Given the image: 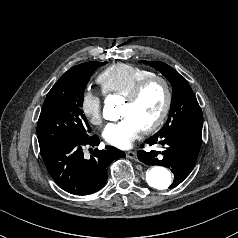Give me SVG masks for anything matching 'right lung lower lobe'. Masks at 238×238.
Masks as SVG:
<instances>
[{"mask_svg": "<svg viewBox=\"0 0 238 238\" xmlns=\"http://www.w3.org/2000/svg\"><path fill=\"white\" fill-rule=\"evenodd\" d=\"M97 146L96 135L63 142L41 151L46 168L63 190L74 195H87L100 190L106 180L107 166L115 159L125 157L124 152L106 146L103 150L94 149L90 159L83 156L82 147Z\"/></svg>", "mask_w": 238, "mask_h": 238, "instance_id": "98d812e1", "label": "right lung lower lobe"}]
</instances>
